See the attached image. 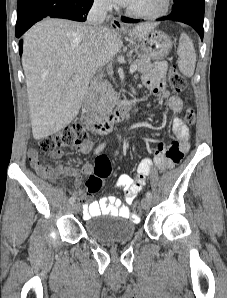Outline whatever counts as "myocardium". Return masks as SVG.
<instances>
[{
    "mask_svg": "<svg viewBox=\"0 0 227 298\" xmlns=\"http://www.w3.org/2000/svg\"><path fill=\"white\" fill-rule=\"evenodd\" d=\"M170 8V0H162L161 7L153 12L136 11L131 8H126V13L138 19H158L165 16Z\"/></svg>",
    "mask_w": 227,
    "mask_h": 298,
    "instance_id": "obj_1",
    "label": "myocardium"
}]
</instances>
